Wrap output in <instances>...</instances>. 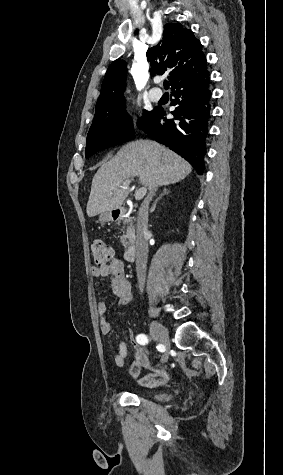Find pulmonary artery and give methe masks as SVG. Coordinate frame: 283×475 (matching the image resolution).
Here are the masks:
<instances>
[{
  "mask_svg": "<svg viewBox=\"0 0 283 475\" xmlns=\"http://www.w3.org/2000/svg\"><path fill=\"white\" fill-rule=\"evenodd\" d=\"M155 85H157V84H155ZM150 93H151L152 96H161L162 93H163V90H162L161 87H152L151 90H150ZM152 101L157 102L158 99L152 98Z\"/></svg>",
  "mask_w": 283,
  "mask_h": 475,
  "instance_id": "obj_1",
  "label": "pulmonary artery"
}]
</instances>
